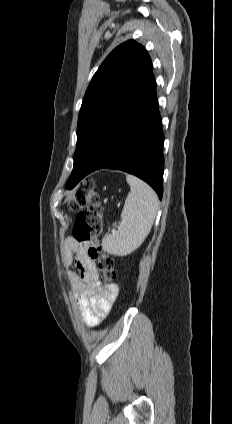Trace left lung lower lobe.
Returning <instances> with one entry per match:
<instances>
[{
  "mask_svg": "<svg viewBox=\"0 0 232 424\" xmlns=\"http://www.w3.org/2000/svg\"><path fill=\"white\" fill-rule=\"evenodd\" d=\"M164 135L158 110L153 74L105 129L92 148L80 176H71L66 188L72 189L89 173L117 169L138 176L162 198Z\"/></svg>",
  "mask_w": 232,
  "mask_h": 424,
  "instance_id": "0a47b994",
  "label": "left lung lower lobe"
}]
</instances>
